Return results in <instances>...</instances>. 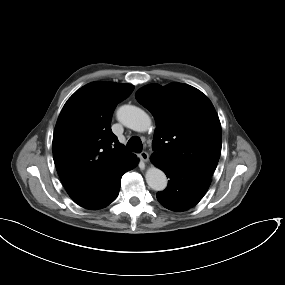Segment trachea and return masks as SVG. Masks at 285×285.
<instances>
[{
	"instance_id": "trachea-1",
	"label": "trachea",
	"mask_w": 285,
	"mask_h": 285,
	"mask_svg": "<svg viewBox=\"0 0 285 285\" xmlns=\"http://www.w3.org/2000/svg\"><path fill=\"white\" fill-rule=\"evenodd\" d=\"M142 142L140 140V138L134 136L131 137L127 143V150L130 152H136L139 153L142 150Z\"/></svg>"
}]
</instances>
